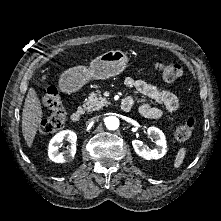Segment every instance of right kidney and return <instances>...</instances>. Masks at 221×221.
<instances>
[{"mask_svg": "<svg viewBox=\"0 0 221 221\" xmlns=\"http://www.w3.org/2000/svg\"><path fill=\"white\" fill-rule=\"evenodd\" d=\"M67 140L70 142L68 150L59 152L62 141ZM76 133L71 130H63L57 133L51 140L48 146V156L50 160L55 163H65L71 161L76 153Z\"/></svg>", "mask_w": 221, "mask_h": 221, "instance_id": "ca27d5eb", "label": "right kidney"}]
</instances>
